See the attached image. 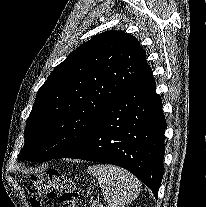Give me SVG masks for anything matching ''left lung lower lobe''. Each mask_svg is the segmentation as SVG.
<instances>
[{
  "mask_svg": "<svg viewBox=\"0 0 206 207\" xmlns=\"http://www.w3.org/2000/svg\"><path fill=\"white\" fill-rule=\"evenodd\" d=\"M150 66L106 109L89 140L65 158L123 167L157 198L163 177L166 121Z\"/></svg>",
  "mask_w": 206,
  "mask_h": 207,
  "instance_id": "0a47b994",
  "label": "left lung lower lobe"
}]
</instances>
